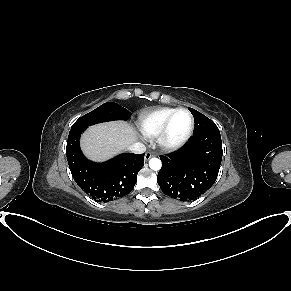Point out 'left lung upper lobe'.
Listing matches in <instances>:
<instances>
[{
    "mask_svg": "<svg viewBox=\"0 0 291 291\" xmlns=\"http://www.w3.org/2000/svg\"><path fill=\"white\" fill-rule=\"evenodd\" d=\"M189 111L194 116L195 127L193 135L201 133L210 128H218L212 120H210L200 112L196 111L195 109L189 108Z\"/></svg>",
    "mask_w": 291,
    "mask_h": 291,
    "instance_id": "1",
    "label": "left lung upper lobe"
}]
</instances>
